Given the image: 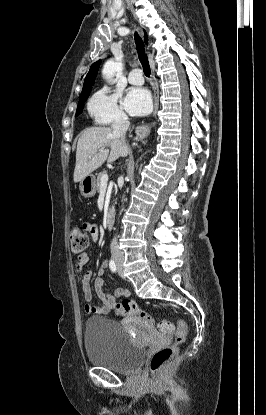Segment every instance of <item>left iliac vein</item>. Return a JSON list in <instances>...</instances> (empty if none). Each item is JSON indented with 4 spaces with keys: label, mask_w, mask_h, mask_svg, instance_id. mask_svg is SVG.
Returning <instances> with one entry per match:
<instances>
[{
    "label": "left iliac vein",
    "mask_w": 266,
    "mask_h": 415,
    "mask_svg": "<svg viewBox=\"0 0 266 415\" xmlns=\"http://www.w3.org/2000/svg\"><path fill=\"white\" fill-rule=\"evenodd\" d=\"M118 274H119L121 277H123V269H122V265H121V263H120V262L118 263Z\"/></svg>",
    "instance_id": "1"
}]
</instances>
